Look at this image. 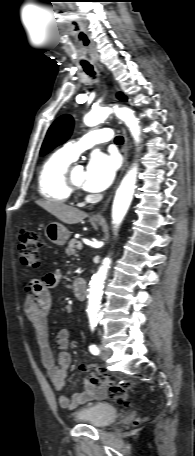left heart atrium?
Masks as SVG:
<instances>
[{"label":"left heart atrium","instance_id":"obj_1","mask_svg":"<svg viewBox=\"0 0 195 456\" xmlns=\"http://www.w3.org/2000/svg\"><path fill=\"white\" fill-rule=\"evenodd\" d=\"M118 167L115 156L94 154L86 167L83 187L90 192L105 190L113 182Z\"/></svg>","mask_w":195,"mask_h":456}]
</instances>
